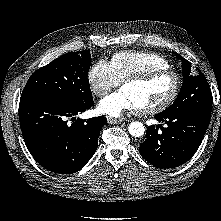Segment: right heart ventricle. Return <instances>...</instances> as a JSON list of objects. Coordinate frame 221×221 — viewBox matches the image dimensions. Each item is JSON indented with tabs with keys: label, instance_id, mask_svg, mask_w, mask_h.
I'll use <instances>...</instances> for the list:
<instances>
[{
	"label": "right heart ventricle",
	"instance_id": "right-heart-ventricle-1",
	"mask_svg": "<svg viewBox=\"0 0 221 221\" xmlns=\"http://www.w3.org/2000/svg\"><path fill=\"white\" fill-rule=\"evenodd\" d=\"M109 63L120 82L129 76L148 70L170 68L169 61L163 56L154 52L137 50L115 53Z\"/></svg>",
	"mask_w": 221,
	"mask_h": 221
}]
</instances>
